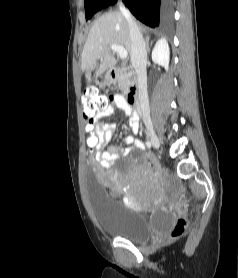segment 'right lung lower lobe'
<instances>
[{
  "instance_id": "98d812e1",
  "label": "right lung lower lobe",
  "mask_w": 238,
  "mask_h": 278,
  "mask_svg": "<svg viewBox=\"0 0 238 278\" xmlns=\"http://www.w3.org/2000/svg\"><path fill=\"white\" fill-rule=\"evenodd\" d=\"M117 0H106L101 9L113 5ZM132 12V14L144 24L150 27L165 22L170 17V9L172 0H122Z\"/></svg>"
}]
</instances>
